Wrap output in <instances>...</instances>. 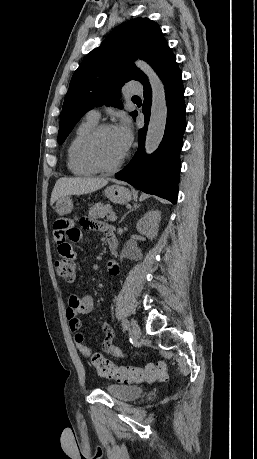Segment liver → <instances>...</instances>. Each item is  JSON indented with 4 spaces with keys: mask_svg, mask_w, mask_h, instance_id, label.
<instances>
[{
    "mask_svg": "<svg viewBox=\"0 0 257 459\" xmlns=\"http://www.w3.org/2000/svg\"><path fill=\"white\" fill-rule=\"evenodd\" d=\"M107 183L108 180L103 178H60L53 188L50 204L53 205L60 197L92 193Z\"/></svg>",
    "mask_w": 257,
    "mask_h": 459,
    "instance_id": "1",
    "label": "liver"
}]
</instances>
